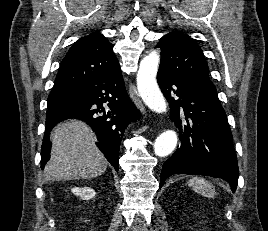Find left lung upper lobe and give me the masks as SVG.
Listing matches in <instances>:
<instances>
[{
  "instance_id": "5c2ea615",
  "label": "left lung upper lobe",
  "mask_w": 268,
  "mask_h": 231,
  "mask_svg": "<svg viewBox=\"0 0 268 231\" xmlns=\"http://www.w3.org/2000/svg\"><path fill=\"white\" fill-rule=\"evenodd\" d=\"M157 47L161 49L160 69L198 85L218 100L216 88L209 78L208 64L194 39L172 31L159 40Z\"/></svg>"
}]
</instances>
